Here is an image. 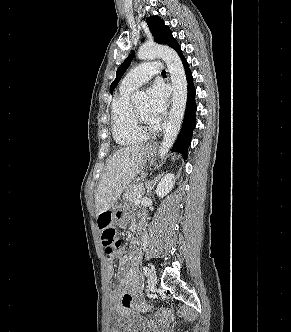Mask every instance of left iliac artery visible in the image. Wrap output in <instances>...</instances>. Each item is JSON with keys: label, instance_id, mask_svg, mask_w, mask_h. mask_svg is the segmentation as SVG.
I'll list each match as a JSON object with an SVG mask.
<instances>
[{"label": "left iliac artery", "instance_id": "obj_1", "mask_svg": "<svg viewBox=\"0 0 291 332\" xmlns=\"http://www.w3.org/2000/svg\"><path fill=\"white\" fill-rule=\"evenodd\" d=\"M148 273H149V268L146 267V266H144V267H143V274H144L145 276H147Z\"/></svg>", "mask_w": 291, "mask_h": 332}]
</instances>
